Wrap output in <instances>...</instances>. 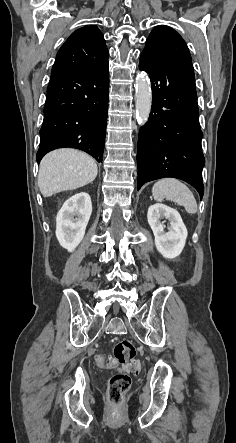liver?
Here are the masks:
<instances>
[{
    "label": "liver",
    "mask_w": 236,
    "mask_h": 443,
    "mask_svg": "<svg viewBox=\"0 0 236 443\" xmlns=\"http://www.w3.org/2000/svg\"><path fill=\"white\" fill-rule=\"evenodd\" d=\"M98 168L88 154L69 148L49 152L40 162L38 186L43 197L93 182Z\"/></svg>",
    "instance_id": "1"
}]
</instances>
